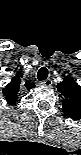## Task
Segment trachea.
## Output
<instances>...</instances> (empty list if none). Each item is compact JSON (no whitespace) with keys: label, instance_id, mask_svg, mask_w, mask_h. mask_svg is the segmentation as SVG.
<instances>
[{"label":"trachea","instance_id":"1","mask_svg":"<svg viewBox=\"0 0 81 155\" xmlns=\"http://www.w3.org/2000/svg\"><path fill=\"white\" fill-rule=\"evenodd\" d=\"M47 77H48V70L45 67L40 68L37 73L38 80L43 81Z\"/></svg>","mask_w":81,"mask_h":155}]
</instances>
